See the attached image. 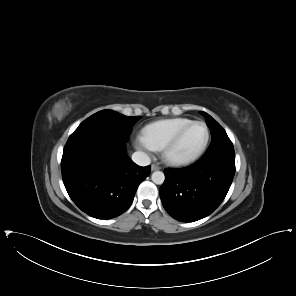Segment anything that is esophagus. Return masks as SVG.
I'll return each mask as SVG.
<instances>
[{
	"instance_id": "esophagus-1",
	"label": "esophagus",
	"mask_w": 296,
	"mask_h": 296,
	"mask_svg": "<svg viewBox=\"0 0 296 296\" xmlns=\"http://www.w3.org/2000/svg\"><path fill=\"white\" fill-rule=\"evenodd\" d=\"M159 169H161L160 166H158V165H156V164H152V165H151V170H152V171H156V170H159Z\"/></svg>"
}]
</instances>
